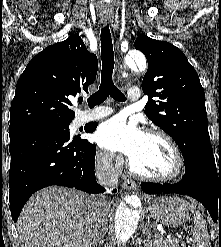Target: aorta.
<instances>
[{
	"instance_id": "762f6f07",
	"label": "aorta",
	"mask_w": 221,
	"mask_h": 247,
	"mask_svg": "<svg viewBox=\"0 0 221 247\" xmlns=\"http://www.w3.org/2000/svg\"><path fill=\"white\" fill-rule=\"evenodd\" d=\"M128 69L140 70L146 68V59L140 52H130L125 59ZM139 211L129 208L125 203H121L115 216V238L120 245H124L136 231L139 221Z\"/></svg>"
}]
</instances>
